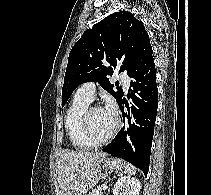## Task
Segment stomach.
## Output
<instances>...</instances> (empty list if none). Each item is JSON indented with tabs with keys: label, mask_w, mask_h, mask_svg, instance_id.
Instances as JSON below:
<instances>
[{
	"label": "stomach",
	"mask_w": 211,
	"mask_h": 195,
	"mask_svg": "<svg viewBox=\"0 0 211 195\" xmlns=\"http://www.w3.org/2000/svg\"><path fill=\"white\" fill-rule=\"evenodd\" d=\"M101 167L108 171H120L125 168V162L120 158L102 159L98 164V166L91 172V174L88 177L87 181L90 184L91 188L97 184V182L101 177ZM85 193L86 192H84L81 195H85Z\"/></svg>",
	"instance_id": "0dacf381"
}]
</instances>
